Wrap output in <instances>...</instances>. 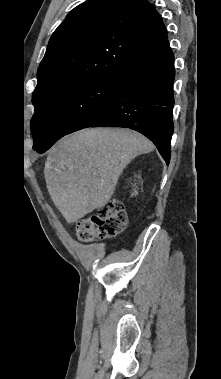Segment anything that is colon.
Returning a JSON list of instances; mask_svg holds the SVG:
<instances>
[{
    "mask_svg": "<svg viewBox=\"0 0 221 379\" xmlns=\"http://www.w3.org/2000/svg\"><path fill=\"white\" fill-rule=\"evenodd\" d=\"M128 222L124 204L111 200L101 206L94 214L79 220L76 235L82 242L116 236L121 233Z\"/></svg>",
    "mask_w": 221,
    "mask_h": 379,
    "instance_id": "colon-1",
    "label": "colon"
}]
</instances>
